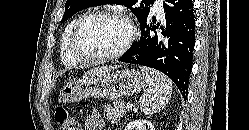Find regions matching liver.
I'll use <instances>...</instances> for the list:
<instances>
[{"instance_id": "6515ba94", "label": "liver", "mask_w": 249, "mask_h": 130, "mask_svg": "<svg viewBox=\"0 0 249 130\" xmlns=\"http://www.w3.org/2000/svg\"><path fill=\"white\" fill-rule=\"evenodd\" d=\"M112 67H101L89 70L86 74L96 73V72H106L111 71Z\"/></svg>"}]
</instances>
